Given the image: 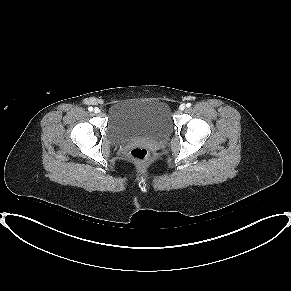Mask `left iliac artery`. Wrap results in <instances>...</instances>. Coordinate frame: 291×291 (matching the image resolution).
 <instances>
[{"label": "left iliac artery", "instance_id": "44dca946", "mask_svg": "<svg viewBox=\"0 0 291 291\" xmlns=\"http://www.w3.org/2000/svg\"><path fill=\"white\" fill-rule=\"evenodd\" d=\"M186 106H187L188 108H190V107H191V103H187Z\"/></svg>", "mask_w": 291, "mask_h": 291}]
</instances>
